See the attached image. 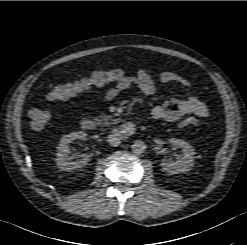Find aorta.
<instances>
[{
    "instance_id": "1",
    "label": "aorta",
    "mask_w": 247,
    "mask_h": 245,
    "mask_svg": "<svg viewBox=\"0 0 247 245\" xmlns=\"http://www.w3.org/2000/svg\"><path fill=\"white\" fill-rule=\"evenodd\" d=\"M131 148L135 154H142L146 151V144L142 140H136L133 142Z\"/></svg>"
}]
</instances>
